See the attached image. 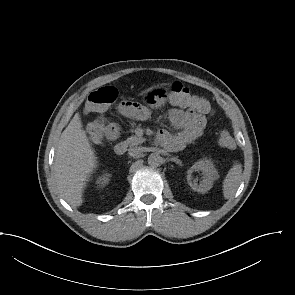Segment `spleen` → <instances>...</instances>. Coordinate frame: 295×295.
I'll return each instance as SVG.
<instances>
[{
	"label": "spleen",
	"mask_w": 295,
	"mask_h": 295,
	"mask_svg": "<svg viewBox=\"0 0 295 295\" xmlns=\"http://www.w3.org/2000/svg\"><path fill=\"white\" fill-rule=\"evenodd\" d=\"M241 175L242 165L240 163H234L223 181L224 198L229 199L235 194L241 181Z\"/></svg>",
	"instance_id": "3e777b00"
}]
</instances>
